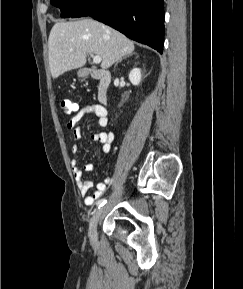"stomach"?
Wrapping results in <instances>:
<instances>
[{
  "instance_id": "0dacf381",
  "label": "stomach",
  "mask_w": 243,
  "mask_h": 289,
  "mask_svg": "<svg viewBox=\"0 0 243 289\" xmlns=\"http://www.w3.org/2000/svg\"><path fill=\"white\" fill-rule=\"evenodd\" d=\"M78 75H79L80 77L84 76L83 71H79V72H78Z\"/></svg>"
}]
</instances>
